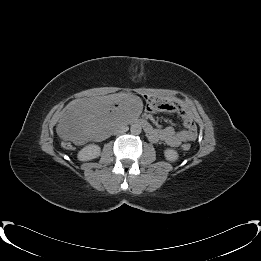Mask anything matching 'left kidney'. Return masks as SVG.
<instances>
[{"label":"left kidney","instance_id":"left-kidney-1","mask_svg":"<svg viewBox=\"0 0 261 261\" xmlns=\"http://www.w3.org/2000/svg\"><path fill=\"white\" fill-rule=\"evenodd\" d=\"M164 156L166 160L170 162L177 161L179 157L177 151L171 148H167L166 150H164Z\"/></svg>","mask_w":261,"mask_h":261}]
</instances>
